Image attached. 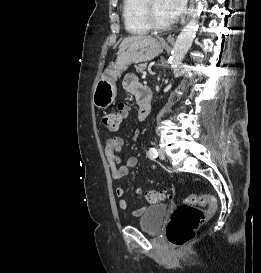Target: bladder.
<instances>
[{"instance_id": "1", "label": "bladder", "mask_w": 261, "mask_h": 273, "mask_svg": "<svg viewBox=\"0 0 261 273\" xmlns=\"http://www.w3.org/2000/svg\"><path fill=\"white\" fill-rule=\"evenodd\" d=\"M167 213L168 207L165 204L148 206L142 213L139 227L145 232L157 234L162 229Z\"/></svg>"}]
</instances>
